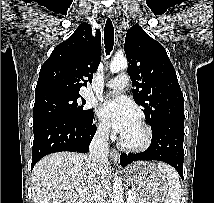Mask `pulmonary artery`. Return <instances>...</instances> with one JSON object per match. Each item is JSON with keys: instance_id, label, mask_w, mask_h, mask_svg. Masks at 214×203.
Returning <instances> with one entry per match:
<instances>
[{"instance_id": "1", "label": "pulmonary artery", "mask_w": 214, "mask_h": 203, "mask_svg": "<svg viewBox=\"0 0 214 203\" xmlns=\"http://www.w3.org/2000/svg\"><path fill=\"white\" fill-rule=\"evenodd\" d=\"M129 82V77L126 74H119L113 79L105 83L106 88L122 90L124 89Z\"/></svg>"}]
</instances>
